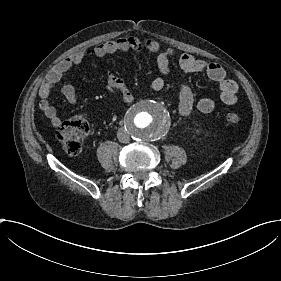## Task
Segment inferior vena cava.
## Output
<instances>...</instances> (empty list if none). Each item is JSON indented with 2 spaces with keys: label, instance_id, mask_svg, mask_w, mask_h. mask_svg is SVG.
I'll return each instance as SVG.
<instances>
[{
  "label": "inferior vena cava",
  "instance_id": "obj_1",
  "mask_svg": "<svg viewBox=\"0 0 281 281\" xmlns=\"http://www.w3.org/2000/svg\"><path fill=\"white\" fill-rule=\"evenodd\" d=\"M117 137H118V140L121 143H129L130 142V136L128 135V133L126 132V130L124 128H120L117 131Z\"/></svg>",
  "mask_w": 281,
  "mask_h": 281
}]
</instances>
